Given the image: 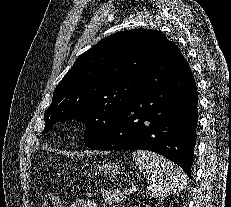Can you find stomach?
<instances>
[{
    "mask_svg": "<svg viewBox=\"0 0 231 207\" xmlns=\"http://www.w3.org/2000/svg\"><path fill=\"white\" fill-rule=\"evenodd\" d=\"M98 170L99 172L104 173V174H108V175L114 174L115 175L120 172L121 168L117 164L107 163L103 165H98Z\"/></svg>",
    "mask_w": 231,
    "mask_h": 207,
    "instance_id": "0dacf381",
    "label": "stomach"
}]
</instances>
